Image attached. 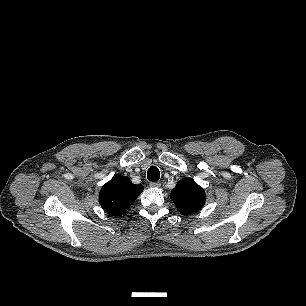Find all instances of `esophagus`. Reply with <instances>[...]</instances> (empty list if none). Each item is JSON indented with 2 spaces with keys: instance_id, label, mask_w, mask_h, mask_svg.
I'll list each match as a JSON object with an SVG mask.
<instances>
[{
  "instance_id": "obj_1",
  "label": "esophagus",
  "mask_w": 306,
  "mask_h": 306,
  "mask_svg": "<svg viewBox=\"0 0 306 306\" xmlns=\"http://www.w3.org/2000/svg\"><path fill=\"white\" fill-rule=\"evenodd\" d=\"M149 186L151 188H159L161 186L160 182H150Z\"/></svg>"
}]
</instances>
